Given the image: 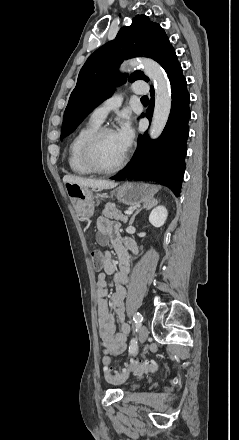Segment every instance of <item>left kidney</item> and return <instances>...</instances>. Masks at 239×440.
<instances>
[{"label": "left kidney", "instance_id": "1", "mask_svg": "<svg viewBox=\"0 0 239 440\" xmlns=\"http://www.w3.org/2000/svg\"><path fill=\"white\" fill-rule=\"evenodd\" d=\"M167 216L168 212L165 206H157V208H154V210H152L149 216V222L150 224H152V226H155V228H161V226L165 224Z\"/></svg>", "mask_w": 239, "mask_h": 440}]
</instances>
